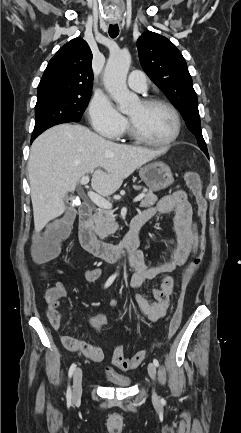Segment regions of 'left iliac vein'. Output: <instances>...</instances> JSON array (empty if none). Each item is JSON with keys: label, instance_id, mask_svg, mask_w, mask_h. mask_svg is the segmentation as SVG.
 Wrapping results in <instances>:
<instances>
[{"label": "left iliac vein", "instance_id": "1", "mask_svg": "<svg viewBox=\"0 0 241 433\" xmlns=\"http://www.w3.org/2000/svg\"><path fill=\"white\" fill-rule=\"evenodd\" d=\"M148 373H149V376L151 377V379L155 380V377H156V367H155L154 363H149L148 364ZM152 398L154 400L158 399V396L155 393V391H153Z\"/></svg>", "mask_w": 241, "mask_h": 433}]
</instances>
